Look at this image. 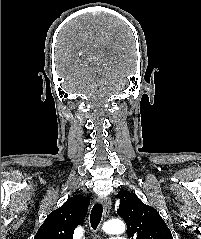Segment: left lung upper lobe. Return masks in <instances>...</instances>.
<instances>
[{"label": "left lung upper lobe", "mask_w": 201, "mask_h": 239, "mask_svg": "<svg viewBox=\"0 0 201 239\" xmlns=\"http://www.w3.org/2000/svg\"><path fill=\"white\" fill-rule=\"evenodd\" d=\"M117 214L126 222L129 239H173L159 213L144 204L133 192L121 190Z\"/></svg>", "instance_id": "left-lung-upper-lobe-1"}]
</instances>
